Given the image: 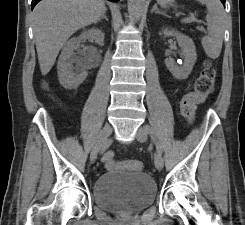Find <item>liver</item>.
Wrapping results in <instances>:
<instances>
[{
    "instance_id": "6515ba94",
    "label": "liver",
    "mask_w": 245,
    "mask_h": 225,
    "mask_svg": "<svg viewBox=\"0 0 245 225\" xmlns=\"http://www.w3.org/2000/svg\"><path fill=\"white\" fill-rule=\"evenodd\" d=\"M106 11L104 0H42L33 10V32L42 75L77 30L96 23Z\"/></svg>"
}]
</instances>
